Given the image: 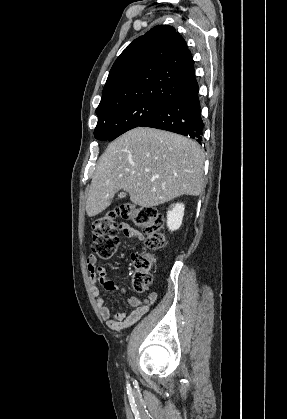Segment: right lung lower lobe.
I'll list each match as a JSON object with an SVG mask.
<instances>
[{"mask_svg": "<svg viewBox=\"0 0 287 419\" xmlns=\"http://www.w3.org/2000/svg\"><path fill=\"white\" fill-rule=\"evenodd\" d=\"M198 92L197 88L171 98L140 126L171 131L201 142L204 123L201 118Z\"/></svg>", "mask_w": 287, "mask_h": 419, "instance_id": "obj_1", "label": "right lung lower lobe"}]
</instances>
